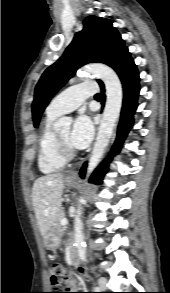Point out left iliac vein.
<instances>
[{
  "mask_svg": "<svg viewBox=\"0 0 170 293\" xmlns=\"http://www.w3.org/2000/svg\"><path fill=\"white\" fill-rule=\"evenodd\" d=\"M98 283L102 290H105L107 288V279L105 277H100Z\"/></svg>",
  "mask_w": 170,
  "mask_h": 293,
  "instance_id": "obj_1",
  "label": "left iliac vein"
}]
</instances>
